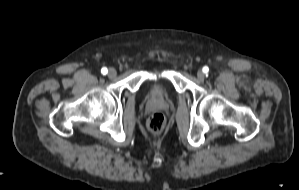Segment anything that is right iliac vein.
<instances>
[{"instance_id": "1", "label": "right iliac vein", "mask_w": 299, "mask_h": 190, "mask_svg": "<svg viewBox=\"0 0 299 190\" xmlns=\"http://www.w3.org/2000/svg\"><path fill=\"white\" fill-rule=\"evenodd\" d=\"M116 75H117L116 70L114 68H110L109 71H108V76L110 78H114V77H116Z\"/></svg>"}]
</instances>
